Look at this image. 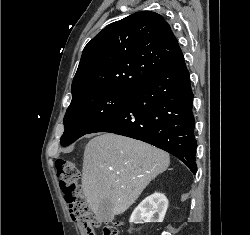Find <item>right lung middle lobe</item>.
<instances>
[{"mask_svg":"<svg viewBox=\"0 0 250 235\" xmlns=\"http://www.w3.org/2000/svg\"><path fill=\"white\" fill-rule=\"evenodd\" d=\"M134 91L97 90L71 101L64 117L61 145L67 146L118 111Z\"/></svg>","mask_w":250,"mask_h":235,"instance_id":"right-lung-middle-lobe-1","label":"right lung middle lobe"}]
</instances>
